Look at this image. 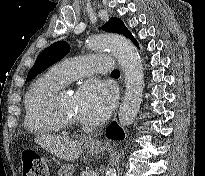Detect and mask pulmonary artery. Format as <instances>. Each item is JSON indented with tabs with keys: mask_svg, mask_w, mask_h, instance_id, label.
<instances>
[{
	"mask_svg": "<svg viewBox=\"0 0 205 176\" xmlns=\"http://www.w3.org/2000/svg\"><path fill=\"white\" fill-rule=\"evenodd\" d=\"M114 69L107 55L78 56L56 63L51 72L64 84L91 74H104Z\"/></svg>",
	"mask_w": 205,
	"mask_h": 176,
	"instance_id": "e3ab8cb5",
	"label": "pulmonary artery"
}]
</instances>
